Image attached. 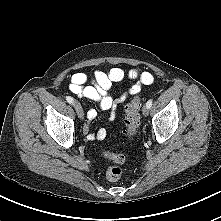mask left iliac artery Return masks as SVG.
<instances>
[{"label": "left iliac artery", "instance_id": "obj_1", "mask_svg": "<svg viewBox=\"0 0 221 221\" xmlns=\"http://www.w3.org/2000/svg\"><path fill=\"white\" fill-rule=\"evenodd\" d=\"M152 99H150V100H148L147 101V103H146V106L148 107V108H150L151 106H152Z\"/></svg>", "mask_w": 221, "mask_h": 221}]
</instances>
